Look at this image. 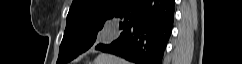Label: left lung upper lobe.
Wrapping results in <instances>:
<instances>
[{
  "label": "left lung upper lobe",
  "mask_w": 242,
  "mask_h": 64,
  "mask_svg": "<svg viewBox=\"0 0 242 64\" xmlns=\"http://www.w3.org/2000/svg\"><path fill=\"white\" fill-rule=\"evenodd\" d=\"M129 0H73L57 64H66L88 50L105 22Z\"/></svg>",
  "instance_id": "left-lung-upper-lobe-1"
}]
</instances>
